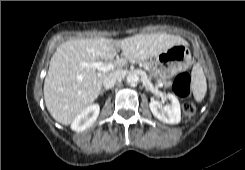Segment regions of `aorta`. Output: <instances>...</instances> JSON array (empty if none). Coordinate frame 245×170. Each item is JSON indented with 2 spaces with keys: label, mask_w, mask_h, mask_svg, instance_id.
Returning a JSON list of instances; mask_svg holds the SVG:
<instances>
[{
  "label": "aorta",
  "mask_w": 245,
  "mask_h": 170,
  "mask_svg": "<svg viewBox=\"0 0 245 170\" xmlns=\"http://www.w3.org/2000/svg\"><path fill=\"white\" fill-rule=\"evenodd\" d=\"M126 81L128 84L135 85L139 82V76L136 73H130L126 78Z\"/></svg>",
  "instance_id": "obj_1"
}]
</instances>
